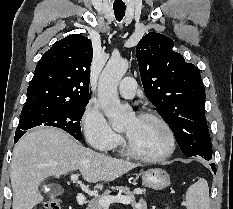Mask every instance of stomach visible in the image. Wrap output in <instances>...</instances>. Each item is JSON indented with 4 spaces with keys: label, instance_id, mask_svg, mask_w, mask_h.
Instances as JSON below:
<instances>
[{
    "label": "stomach",
    "instance_id": "stomach-1",
    "mask_svg": "<svg viewBox=\"0 0 233 209\" xmlns=\"http://www.w3.org/2000/svg\"><path fill=\"white\" fill-rule=\"evenodd\" d=\"M142 184L153 190H162L169 186L170 176L162 168H150L141 173Z\"/></svg>",
    "mask_w": 233,
    "mask_h": 209
}]
</instances>
